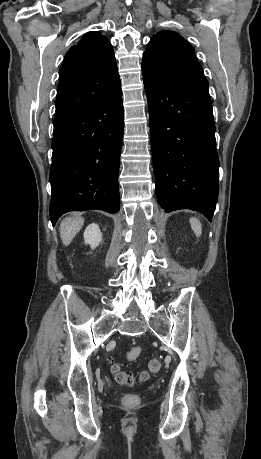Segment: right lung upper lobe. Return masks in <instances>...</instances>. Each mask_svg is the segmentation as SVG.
I'll return each instance as SVG.
<instances>
[{
  "label": "right lung upper lobe",
  "mask_w": 261,
  "mask_h": 459,
  "mask_svg": "<svg viewBox=\"0 0 261 459\" xmlns=\"http://www.w3.org/2000/svg\"><path fill=\"white\" fill-rule=\"evenodd\" d=\"M120 86L109 40L98 32L84 34L60 69L54 125L97 105Z\"/></svg>",
  "instance_id": "cb5924a9"
}]
</instances>
